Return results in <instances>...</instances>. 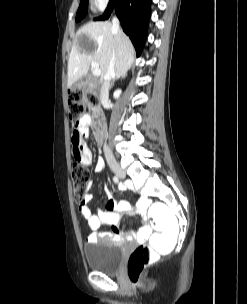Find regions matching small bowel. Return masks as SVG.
I'll list each match as a JSON object with an SVG mask.
<instances>
[{
	"label": "small bowel",
	"instance_id": "c3829d8e",
	"mask_svg": "<svg viewBox=\"0 0 247 304\" xmlns=\"http://www.w3.org/2000/svg\"><path fill=\"white\" fill-rule=\"evenodd\" d=\"M92 124V118L89 115H84L79 122H73L71 131V151L73 156L74 165L90 166L92 164V152L89 147L83 142L84 138L90 136V126ZM76 129V130H75ZM103 168V162L99 160L96 164V172H100ZM92 188V185L88 186V191ZM92 200V195L88 192L85 194L84 199L79 203V210L82 216L85 218L88 227L93 231L87 238L89 243L95 242L100 238H110L112 240H120L122 235L117 228L119 221V215L116 212H103L99 215H95L89 208L88 204ZM150 204L149 199L144 198L139 202V210L142 216L145 217L144 210ZM111 225L112 232H97L98 228L102 225ZM152 230L149 227H142L136 234L128 233L124 235L125 239L131 240L137 238L139 241H146Z\"/></svg>",
	"mask_w": 247,
	"mask_h": 304
}]
</instances>
